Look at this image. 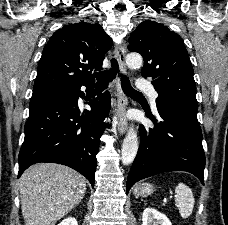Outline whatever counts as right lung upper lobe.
Here are the masks:
<instances>
[{"instance_id": "1", "label": "right lung upper lobe", "mask_w": 228, "mask_h": 225, "mask_svg": "<svg viewBox=\"0 0 228 225\" xmlns=\"http://www.w3.org/2000/svg\"><path fill=\"white\" fill-rule=\"evenodd\" d=\"M111 38L100 24L80 21L56 31L43 49L34 88H76L95 82L92 68L102 70Z\"/></svg>"}]
</instances>
